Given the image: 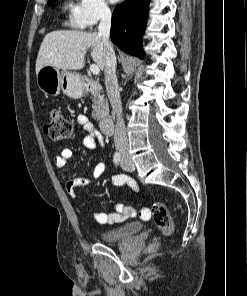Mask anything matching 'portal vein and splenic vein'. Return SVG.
I'll return each instance as SVG.
<instances>
[{
    "mask_svg": "<svg viewBox=\"0 0 247 296\" xmlns=\"http://www.w3.org/2000/svg\"><path fill=\"white\" fill-rule=\"evenodd\" d=\"M90 71H91L92 74H94V75H98L99 72H100V69H99L98 65H96V64H92V65L90 66Z\"/></svg>",
    "mask_w": 247,
    "mask_h": 296,
    "instance_id": "18ae733b",
    "label": "portal vein and splenic vein"
}]
</instances>
